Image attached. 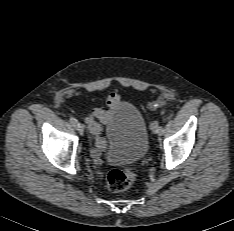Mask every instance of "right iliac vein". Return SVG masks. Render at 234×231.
Returning <instances> with one entry per match:
<instances>
[{
  "label": "right iliac vein",
  "mask_w": 234,
  "mask_h": 231,
  "mask_svg": "<svg viewBox=\"0 0 234 231\" xmlns=\"http://www.w3.org/2000/svg\"><path fill=\"white\" fill-rule=\"evenodd\" d=\"M76 129H77V131H78V133L80 135H83V133H84V127H83L82 124L79 123L78 126L76 127Z\"/></svg>",
  "instance_id": "1"
}]
</instances>
